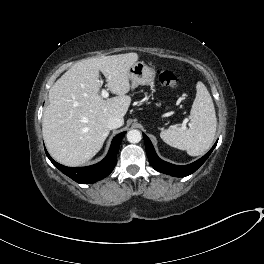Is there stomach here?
<instances>
[{
    "mask_svg": "<svg viewBox=\"0 0 264 264\" xmlns=\"http://www.w3.org/2000/svg\"><path fill=\"white\" fill-rule=\"evenodd\" d=\"M129 79L134 86H154L155 70L144 62H136L129 69ZM159 106H161V104H158V107Z\"/></svg>",
    "mask_w": 264,
    "mask_h": 264,
    "instance_id": "stomach-1",
    "label": "stomach"
}]
</instances>
